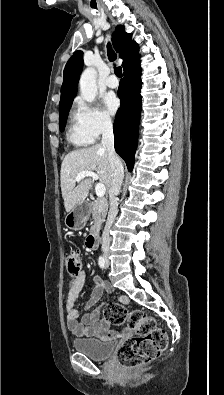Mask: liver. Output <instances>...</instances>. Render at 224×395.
I'll return each instance as SVG.
<instances>
[{"mask_svg": "<svg viewBox=\"0 0 224 395\" xmlns=\"http://www.w3.org/2000/svg\"><path fill=\"white\" fill-rule=\"evenodd\" d=\"M83 171L98 175L99 182L107 189L111 185V166L108 152L102 144L74 150L63 159L60 172L61 192L66 212L85 201L93 183L90 177L83 178L76 185L75 178Z\"/></svg>", "mask_w": 224, "mask_h": 395, "instance_id": "liver-1", "label": "liver"}]
</instances>
